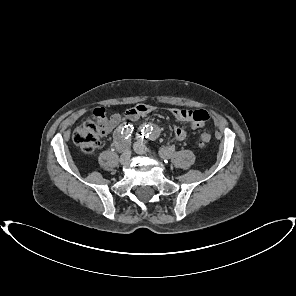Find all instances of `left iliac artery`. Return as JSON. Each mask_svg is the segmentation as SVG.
<instances>
[{
	"label": "left iliac artery",
	"mask_w": 296,
	"mask_h": 296,
	"mask_svg": "<svg viewBox=\"0 0 296 296\" xmlns=\"http://www.w3.org/2000/svg\"><path fill=\"white\" fill-rule=\"evenodd\" d=\"M145 127H143L139 131V133L137 134V138L139 140H147V141L152 140L154 138V132L152 131V127H151V129L148 128V125H146Z\"/></svg>",
	"instance_id": "obj_1"
}]
</instances>
